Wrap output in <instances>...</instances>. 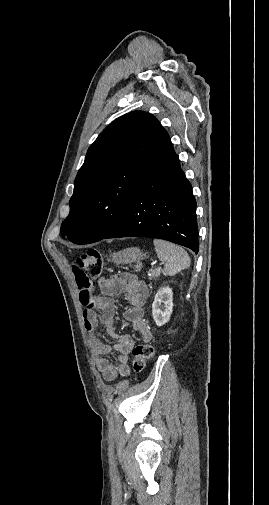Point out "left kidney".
<instances>
[{
    "label": "left kidney",
    "instance_id": "1",
    "mask_svg": "<svg viewBox=\"0 0 269 505\" xmlns=\"http://www.w3.org/2000/svg\"><path fill=\"white\" fill-rule=\"evenodd\" d=\"M173 310V292L169 287L158 290L152 303V316L157 326L166 324Z\"/></svg>",
    "mask_w": 269,
    "mask_h": 505
}]
</instances>
